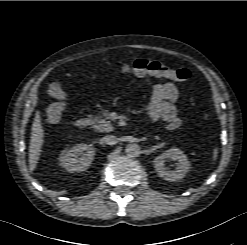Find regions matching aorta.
Listing matches in <instances>:
<instances>
[{"label": "aorta", "instance_id": "obj_1", "mask_svg": "<svg viewBox=\"0 0 247 245\" xmlns=\"http://www.w3.org/2000/svg\"><path fill=\"white\" fill-rule=\"evenodd\" d=\"M125 153L130 158L138 157L141 154V148L138 144H128L125 148Z\"/></svg>", "mask_w": 247, "mask_h": 245}]
</instances>
